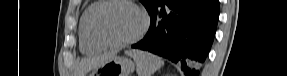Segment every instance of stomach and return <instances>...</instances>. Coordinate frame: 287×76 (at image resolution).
<instances>
[{
  "mask_svg": "<svg viewBox=\"0 0 287 76\" xmlns=\"http://www.w3.org/2000/svg\"><path fill=\"white\" fill-rule=\"evenodd\" d=\"M134 68L135 65L132 60L113 56L97 66L90 76H129Z\"/></svg>",
  "mask_w": 287,
  "mask_h": 76,
  "instance_id": "stomach-1",
  "label": "stomach"
}]
</instances>
